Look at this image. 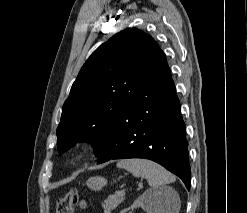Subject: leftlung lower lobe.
<instances>
[{
	"label": "left lung lower lobe",
	"mask_w": 247,
	"mask_h": 213,
	"mask_svg": "<svg viewBox=\"0 0 247 213\" xmlns=\"http://www.w3.org/2000/svg\"><path fill=\"white\" fill-rule=\"evenodd\" d=\"M126 158L153 160L190 189L185 123L166 59L147 70L136 95L126 101L98 163Z\"/></svg>",
	"instance_id": "obj_1"
}]
</instances>
